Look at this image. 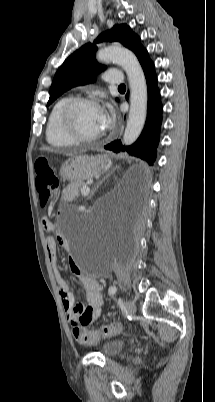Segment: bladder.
<instances>
[{"label":"bladder","instance_id":"obj_1","mask_svg":"<svg viewBox=\"0 0 215 402\" xmlns=\"http://www.w3.org/2000/svg\"><path fill=\"white\" fill-rule=\"evenodd\" d=\"M125 346L124 341L120 339H112L102 343L100 347L101 353L106 357L117 355Z\"/></svg>","mask_w":215,"mask_h":402}]
</instances>
